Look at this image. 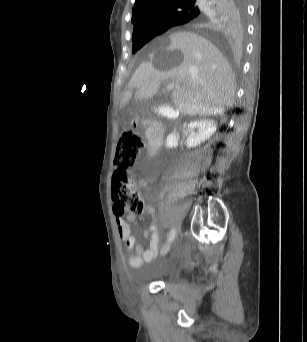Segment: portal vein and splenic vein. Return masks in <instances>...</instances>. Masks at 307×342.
<instances>
[{"mask_svg":"<svg viewBox=\"0 0 307 342\" xmlns=\"http://www.w3.org/2000/svg\"><path fill=\"white\" fill-rule=\"evenodd\" d=\"M169 88H176V84L172 82V84H169ZM168 87L165 89L167 92L170 90Z\"/></svg>","mask_w":307,"mask_h":342,"instance_id":"portal-vein-and-splenic-vein-1","label":"portal vein and splenic vein"}]
</instances>
